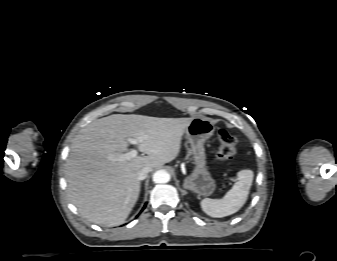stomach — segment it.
<instances>
[{"mask_svg":"<svg viewBox=\"0 0 337 261\" xmlns=\"http://www.w3.org/2000/svg\"><path fill=\"white\" fill-rule=\"evenodd\" d=\"M214 130V123L208 118L201 117L193 118L185 130L195 167L192 173L184 179L183 187L198 196H210L216 189V182L206 165L204 148L206 140L213 135Z\"/></svg>","mask_w":337,"mask_h":261,"instance_id":"0dacf381","label":"stomach"}]
</instances>
